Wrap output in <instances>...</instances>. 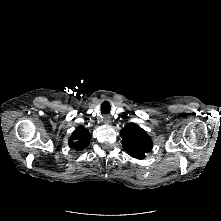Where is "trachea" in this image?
I'll return each instance as SVG.
<instances>
[{
    "mask_svg": "<svg viewBox=\"0 0 221 221\" xmlns=\"http://www.w3.org/2000/svg\"><path fill=\"white\" fill-rule=\"evenodd\" d=\"M110 109H111L110 103L108 101H104L101 105V113L109 114Z\"/></svg>",
    "mask_w": 221,
    "mask_h": 221,
    "instance_id": "1",
    "label": "trachea"
}]
</instances>
